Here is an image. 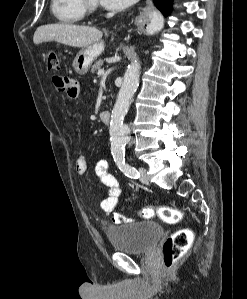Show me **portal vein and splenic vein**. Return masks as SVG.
<instances>
[{
	"label": "portal vein and splenic vein",
	"mask_w": 247,
	"mask_h": 299,
	"mask_svg": "<svg viewBox=\"0 0 247 299\" xmlns=\"http://www.w3.org/2000/svg\"><path fill=\"white\" fill-rule=\"evenodd\" d=\"M98 75H103L104 74V70H98Z\"/></svg>",
	"instance_id": "portal-vein-and-splenic-vein-1"
}]
</instances>
